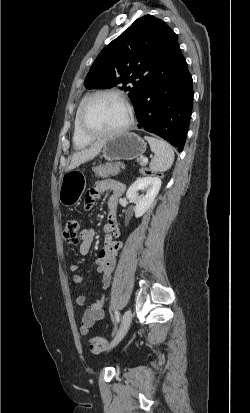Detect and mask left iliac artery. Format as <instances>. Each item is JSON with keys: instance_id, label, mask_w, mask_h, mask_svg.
<instances>
[{"instance_id": "1", "label": "left iliac artery", "mask_w": 250, "mask_h": 413, "mask_svg": "<svg viewBox=\"0 0 250 413\" xmlns=\"http://www.w3.org/2000/svg\"><path fill=\"white\" fill-rule=\"evenodd\" d=\"M115 319H116L117 322H119V320H120V315H119V312L117 310L115 311Z\"/></svg>"}]
</instances>
